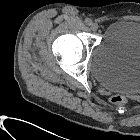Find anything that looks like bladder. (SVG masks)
<instances>
[{"instance_id": "bladder-1", "label": "bladder", "mask_w": 140, "mask_h": 140, "mask_svg": "<svg viewBox=\"0 0 140 140\" xmlns=\"http://www.w3.org/2000/svg\"><path fill=\"white\" fill-rule=\"evenodd\" d=\"M90 69L97 82L107 89L140 93V22L110 23L92 53Z\"/></svg>"}]
</instances>
